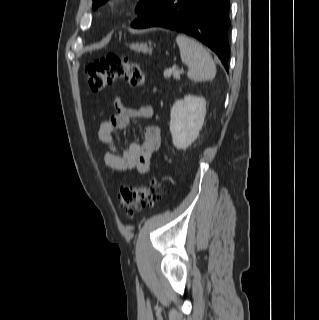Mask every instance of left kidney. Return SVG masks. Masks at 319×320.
<instances>
[{
	"mask_svg": "<svg viewBox=\"0 0 319 320\" xmlns=\"http://www.w3.org/2000/svg\"><path fill=\"white\" fill-rule=\"evenodd\" d=\"M205 115L206 101L203 97L186 95L174 103L170 113V131L177 149H186L197 139Z\"/></svg>",
	"mask_w": 319,
	"mask_h": 320,
	"instance_id": "5707ae66",
	"label": "left kidney"
}]
</instances>
